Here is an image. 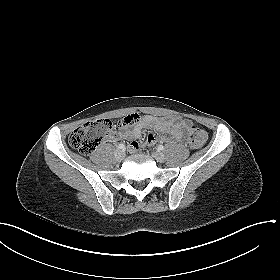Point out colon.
I'll return each instance as SVG.
<instances>
[{"label": "colon", "instance_id": "obj_1", "mask_svg": "<svg viewBox=\"0 0 280 280\" xmlns=\"http://www.w3.org/2000/svg\"><path fill=\"white\" fill-rule=\"evenodd\" d=\"M137 121L138 117L131 115L124 119L123 124L133 125ZM112 130L113 123L109 119L90 121L79 126L70 134L69 144L82 154H90L104 139L110 136ZM187 136L189 144L193 148L202 147L207 140L206 132L197 126H189ZM137 143L132 144L137 145Z\"/></svg>", "mask_w": 280, "mask_h": 280}]
</instances>
